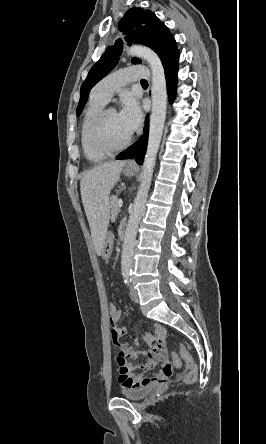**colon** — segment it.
Listing matches in <instances>:
<instances>
[{"instance_id":"colon-1","label":"colon","mask_w":266,"mask_h":444,"mask_svg":"<svg viewBox=\"0 0 266 444\" xmlns=\"http://www.w3.org/2000/svg\"><path fill=\"white\" fill-rule=\"evenodd\" d=\"M107 312L110 316V319H112L114 316H116L118 309L113 302H109L107 304ZM180 356L186 365V373L184 375L183 380L186 384H192L197 379V375H198L197 366H196L190 352L188 351V349L184 345L180 346ZM180 356L176 352H174L172 354V362H173L174 366H176V367L181 366Z\"/></svg>"}]
</instances>
